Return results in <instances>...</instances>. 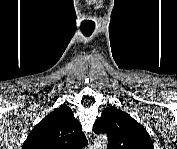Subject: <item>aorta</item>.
Masks as SVG:
<instances>
[{"label":"aorta","mask_w":177,"mask_h":149,"mask_svg":"<svg viewBox=\"0 0 177 149\" xmlns=\"http://www.w3.org/2000/svg\"><path fill=\"white\" fill-rule=\"evenodd\" d=\"M98 142H99V143H102L103 146H106V144H107V138H106L105 136H100V137L98 138Z\"/></svg>","instance_id":"aorta-1"}]
</instances>
